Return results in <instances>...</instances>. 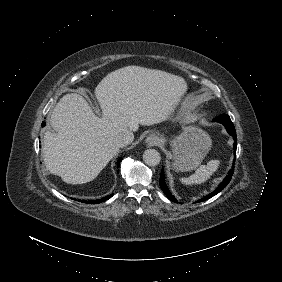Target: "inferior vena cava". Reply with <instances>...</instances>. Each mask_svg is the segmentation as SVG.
<instances>
[{
	"label": "inferior vena cava",
	"mask_w": 282,
	"mask_h": 282,
	"mask_svg": "<svg viewBox=\"0 0 282 282\" xmlns=\"http://www.w3.org/2000/svg\"><path fill=\"white\" fill-rule=\"evenodd\" d=\"M133 133L126 129L120 133H118L115 137H114V143L118 148H123L129 144H131L133 142Z\"/></svg>",
	"instance_id": "602c4592"
}]
</instances>
